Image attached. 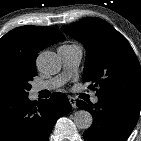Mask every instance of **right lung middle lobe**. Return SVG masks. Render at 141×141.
Masks as SVG:
<instances>
[{"mask_svg":"<svg viewBox=\"0 0 141 141\" xmlns=\"http://www.w3.org/2000/svg\"><path fill=\"white\" fill-rule=\"evenodd\" d=\"M36 75V68L26 64H0V99L28 96L29 82Z\"/></svg>","mask_w":141,"mask_h":141,"instance_id":"right-lung-middle-lobe-1","label":"right lung middle lobe"}]
</instances>
